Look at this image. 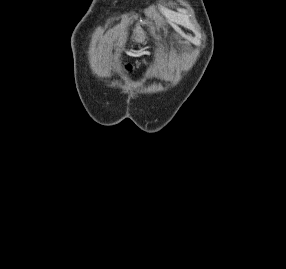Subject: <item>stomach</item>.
<instances>
[{
	"label": "stomach",
	"mask_w": 286,
	"mask_h": 269,
	"mask_svg": "<svg viewBox=\"0 0 286 269\" xmlns=\"http://www.w3.org/2000/svg\"><path fill=\"white\" fill-rule=\"evenodd\" d=\"M145 32L138 26L134 31V40L136 43H143L145 40Z\"/></svg>",
	"instance_id": "1"
}]
</instances>
